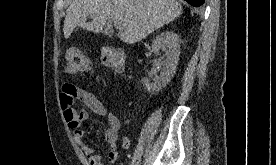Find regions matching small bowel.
<instances>
[{
    "label": "small bowel",
    "mask_w": 276,
    "mask_h": 165,
    "mask_svg": "<svg viewBox=\"0 0 276 165\" xmlns=\"http://www.w3.org/2000/svg\"><path fill=\"white\" fill-rule=\"evenodd\" d=\"M76 100L82 102L86 109H82L80 111L76 110L74 108V102ZM60 105L66 123L69 129L73 132V137L76 143L84 151L89 165L105 164L102 162L101 157L95 153L94 149L84 141L85 134L82 130V125L89 117V112L106 119L108 127L104 132V138L109 147L106 160L109 164L115 163L118 158L117 141L119 138V131L121 129L119 119L111 113L92 92L77 87L71 83L63 84L60 93ZM129 145V139L123 137V149H128Z\"/></svg>",
    "instance_id": "small-bowel-1"
}]
</instances>
